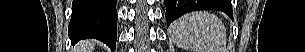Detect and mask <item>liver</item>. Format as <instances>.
Masks as SVG:
<instances>
[{
	"label": "liver",
	"mask_w": 305,
	"mask_h": 52,
	"mask_svg": "<svg viewBox=\"0 0 305 52\" xmlns=\"http://www.w3.org/2000/svg\"><path fill=\"white\" fill-rule=\"evenodd\" d=\"M94 49L93 41H84L81 43L82 52H91Z\"/></svg>",
	"instance_id": "1"
}]
</instances>
